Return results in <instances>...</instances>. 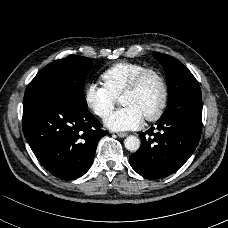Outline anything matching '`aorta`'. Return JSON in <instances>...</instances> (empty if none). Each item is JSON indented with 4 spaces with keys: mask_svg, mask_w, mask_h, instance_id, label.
Wrapping results in <instances>:
<instances>
[{
    "mask_svg": "<svg viewBox=\"0 0 228 228\" xmlns=\"http://www.w3.org/2000/svg\"><path fill=\"white\" fill-rule=\"evenodd\" d=\"M124 145L129 152H136L140 148L141 141L136 136H128L124 141Z\"/></svg>",
    "mask_w": 228,
    "mask_h": 228,
    "instance_id": "aorta-1",
    "label": "aorta"
}]
</instances>
